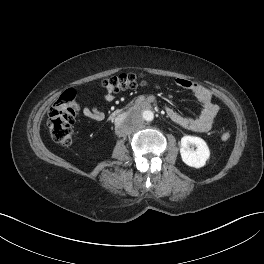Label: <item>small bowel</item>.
I'll use <instances>...</instances> for the list:
<instances>
[{
  "mask_svg": "<svg viewBox=\"0 0 264 264\" xmlns=\"http://www.w3.org/2000/svg\"><path fill=\"white\" fill-rule=\"evenodd\" d=\"M176 84L179 87L191 91L200 104V111L196 117H186L177 111L166 108L167 116L178 126L193 132L204 133L209 131L213 124L215 117L219 111L216 104L212 102L211 93L202 85L187 79H177ZM106 102H112L114 94L110 92L104 93ZM83 115L94 121H102L105 114L102 109L98 107L85 106L83 108Z\"/></svg>",
  "mask_w": 264,
  "mask_h": 264,
  "instance_id": "c3829d8e",
  "label": "small bowel"
}]
</instances>
